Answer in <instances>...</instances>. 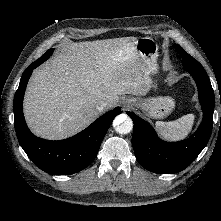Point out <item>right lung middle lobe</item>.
I'll use <instances>...</instances> for the list:
<instances>
[{
    "label": "right lung middle lobe",
    "mask_w": 221,
    "mask_h": 221,
    "mask_svg": "<svg viewBox=\"0 0 221 221\" xmlns=\"http://www.w3.org/2000/svg\"><path fill=\"white\" fill-rule=\"evenodd\" d=\"M53 53V49L48 50L43 56L42 59L43 61H46Z\"/></svg>",
    "instance_id": "right-lung-middle-lobe-1"
}]
</instances>
